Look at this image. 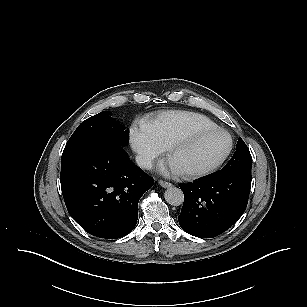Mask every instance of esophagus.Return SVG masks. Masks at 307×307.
<instances>
[{
	"mask_svg": "<svg viewBox=\"0 0 307 307\" xmlns=\"http://www.w3.org/2000/svg\"><path fill=\"white\" fill-rule=\"evenodd\" d=\"M159 185L162 186L163 188H168L171 187L172 184L170 182L164 181V180H159Z\"/></svg>",
	"mask_w": 307,
	"mask_h": 307,
	"instance_id": "esophagus-1",
	"label": "esophagus"
}]
</instances>
